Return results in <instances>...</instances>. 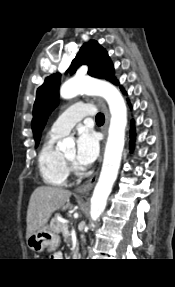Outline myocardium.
I'll return each mask as SVG.
<instances>
[{"label": "myocardium", "mask_w": 175, "mask_h": 287, "mask_svg": "<svg viewBox=\"0 0 175 287\" xmlns=\"http://www.w3.org/2000/svg\"><path fill=\"white\" fill-rule=\"evenodd\" d=\"M63 157H64V160H65L67 166L73 168V167H74V160L69 159V158H67L66 156H63Z\"/></svg>", "instance_id": "obj_1"}]
</instances>
